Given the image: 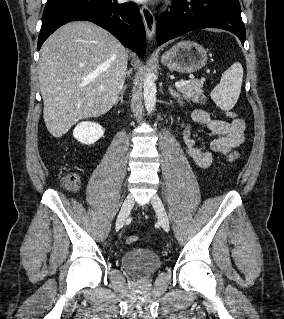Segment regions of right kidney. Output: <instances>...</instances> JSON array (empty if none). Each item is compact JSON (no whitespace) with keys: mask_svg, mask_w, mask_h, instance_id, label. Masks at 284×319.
<instances>
[{"mask_svg":"<svg viewBox=\"0 0 284 319\" xmlns=\"http://www.w3.org/2000/svg\"><path fill=\"white\" fill-rule=\"evenodd\" d=\"M104 134L100 124L95 122H81L73 130V136L82 144L90 145L98 141Z\"/></svg>","mask_w":284,"mask_h":319,"instance_id":"ca27d5eb","label":"right kidney"}]
</instances>
